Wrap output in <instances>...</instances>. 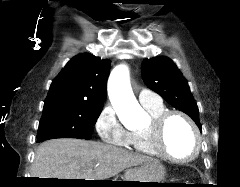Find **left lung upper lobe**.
<instances>
[{
	"instance_id": "5c2ea615",
	"label": "left lung upper lobe",
	"mask_w": 240,
	"mask_h": 187,
	"mask_svg": "<svg viewBox=\"0 0 240 187\" xmlns=\"http://www.w3.org/2000/svg\"><path fill=\"white\" fill-rule=\"evenodd\" d=\"M146 85L170 105L189 115L202 128L199 121L198 106L186 79L175 63L167 57L145 59L141 67Z\"/></svg>"
}]
</instances>
